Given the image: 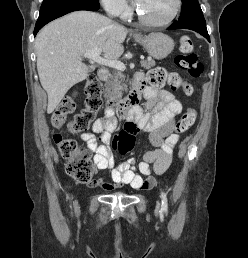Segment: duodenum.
I'll use <instances>...</instances> for the list:
<instances>
[{
	"label": "duodenum",
	"mask_w": 248,
	"mask_h": 258,
	"mask_svg": "<svg viewBox=\"0 0 248 258\" xmlns=\"http://www.w3.org/2000/svg\"><path fill=\"white\" fill-rule=\"evenodd\" d=\"M108 77V72L104 69L98 71V78L105 81ZM142 81L140 77L135 78L134 87L126 99L120 101H109L107 109L113 110L115 108L120 116L127 120L139 108V99L141 97Z\"/></svg>",
	"instance_id": "obj_1"
}]
</instances>
